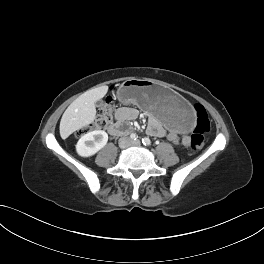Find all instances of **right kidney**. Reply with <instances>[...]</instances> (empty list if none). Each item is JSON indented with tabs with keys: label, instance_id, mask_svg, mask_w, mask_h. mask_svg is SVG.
Here are the masks:
<instances>
[{
	"label": "right kidney",
	"instance_id": "obj_1",
	"mask_svg": "<svg viewBox=\"0 0 264 264\" xmlns=\"http://www.w3.org/2000/svg\"><path fill=\"white\" fill-rule=\"evenodd\" d=\"M108 141V134L95 130L83 135L76 144V151L81 157H90L101 150Z\"/></svg>",
	"mask_w": 264,
	"mask_h": 264
}]
</instances>
